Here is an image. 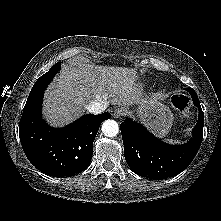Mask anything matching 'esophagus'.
Wrapping results in <instances>:
<instances>
[{"mask_svg":"<svg viewBox=\"0 0 221 221\" xmlns=\"http://www.w3.org/2000/svg\"><path fill=\"white\" fill-rule=\"evenodd\" d=\"M124 115H126V110L122 107L116 108L113 112V117L116 119H118Z\"/></svg>","mask_w":221,"mask_h":221,"instance_id":"esophagus-1","label":"esophagus"}]
</instances>
